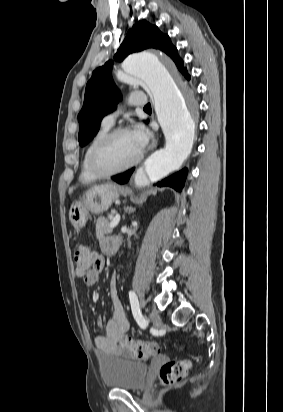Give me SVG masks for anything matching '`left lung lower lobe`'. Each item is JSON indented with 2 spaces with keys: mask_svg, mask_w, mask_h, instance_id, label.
Listing matches in <instances>:
<instances>
[{
  "mask_svg": "<svg viewBox=\"0 0 283 412\" xmlns=\"http://www.w3.org/2000/svg\"><path fill=\"white\" fill-rule=\"evenodd\" d=\"M185 77L188 80L190 79L189 75H187ZM133 171H134V169H131V170H128V171H126L122 174L112 176L111 178L114 181H116L117 183L123 184V183H126L129 180V178H130ZM186 176H187V169L184 168L183 170L169 176L168 178L162 180L161 182H158L157 185L158 186H170V187L174 188L176 191L180 192L182 190L183 186H184Z\"/></svg>",
  "mask_w": 283,
  "mask_h": 412,
  "instance_id": "1",
  "label": "left lung lower lobe"
}]
</instances>
